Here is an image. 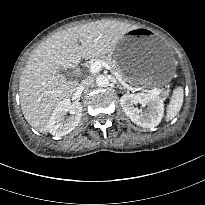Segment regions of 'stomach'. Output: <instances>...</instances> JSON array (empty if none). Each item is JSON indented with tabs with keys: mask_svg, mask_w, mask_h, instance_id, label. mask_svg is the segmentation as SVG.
<instances>
[{
	"mask_svg": "<svg viewBox=\"0 0 205 205\" xmlns=\"http://www.w3.org/2000/svg\"><path fill=\"white\" fill-rule=\"evenodd\" d=\"M112 54L123 76L134 85H161L175 68L170 48L149 28L128 31Z\"/></svg>",
	"mask_w": 205,
	"mask_h": 205,
	"instance_id": "stomach-1",
	"label": "stomach"
}]
</instances>
